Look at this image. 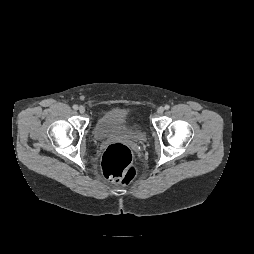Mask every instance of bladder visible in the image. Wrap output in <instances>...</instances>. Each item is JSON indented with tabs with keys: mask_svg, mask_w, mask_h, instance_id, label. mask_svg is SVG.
Returning <instances> with one entry per match:
<instances>
[{
	"mask_svg": "<svg viewBox=\"0 0 254 254\" xmlns=\"http://www.w3.org/2000/svg\"><path fill=\"white\" fill-rule=\"evenodd\" d=\"M93 134L97 140L113 137H128L134 140L145 138L144 132L137 130L130 123L128 112L121 108H113L102 113L95 122Z\"/></svg>",
	"mask_w": 254,
	"mask_h": 254,
	"instance_id": "obj_1",
	"label": "bladder"
}]
</instances>
